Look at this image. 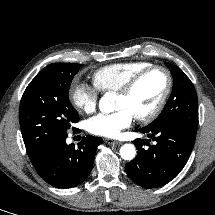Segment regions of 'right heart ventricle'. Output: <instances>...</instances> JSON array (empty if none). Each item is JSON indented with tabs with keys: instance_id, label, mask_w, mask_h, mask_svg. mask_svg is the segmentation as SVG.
<instances>
[{
	"instance_id": "e07e8e85",
	"label": "right heart ventricle",
	"mask_w": 215,
	"mask_h": 215,
	"mask_svg": "<svg viewBox=\"0 0 215 215\" xmlns=\"http://www.w3.org/2000/svg\"><path fill=\"white\" fill-rule=\"evenodd\" d=\"M151 65L144 61L109 64L94 72L93 82L100 91L117 92L132 76Z\"/></svg>"
}]
</instances>
